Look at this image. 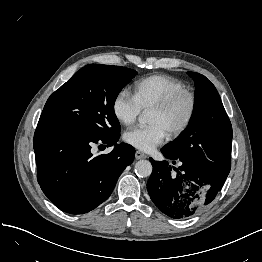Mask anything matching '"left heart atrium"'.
Listing matches in <instances>:
<instances>
[{"label": "left heart atrium", "mask_w": 262, "mask_h": 262, "mask_svg": "<svg viewBox=\"0 0 262 262\" xmlns=\"http://www.w3.org/2000/svg\"><path fill=\"white\" fill-rule=\"evenodd\" d=\"M168 137V132L159 123L148 126H136L124 133L126 143L142 150L151 151L162 144Z\"/></svg>", "instance_id": "39dd6f15"}]
</instances>
